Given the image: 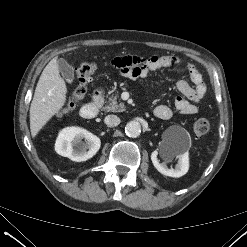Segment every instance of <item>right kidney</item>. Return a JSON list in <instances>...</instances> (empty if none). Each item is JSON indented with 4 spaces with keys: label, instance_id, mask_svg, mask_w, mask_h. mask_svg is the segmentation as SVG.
Here are the masks:
<instances>
[{
    "label": "right kidney",
    "instance_id": "ca27d5eb",
    "mask_svg": "<svg viewBox=\"0 0 247 247\" xmlns=\"http://www.w3.org/2000/svg\"><path fill=\"white\" fill-rule=\"evenodd\" d=\"M85 141L82 142L81 140ZM73 141L78 143L76 150L73 149ZM101 141L94 134L80 127H67L60 131L55 151L73 161L81 162L92 158L100 149Z\"/></svg>",
    "mask_w": 247,
    "mask_h": 247
}]
</instances>
